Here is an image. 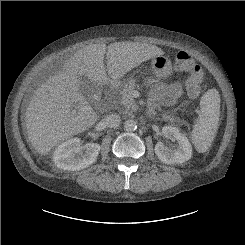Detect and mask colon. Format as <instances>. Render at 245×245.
<instances>
[{
  "mask_svg": "<svg viewBox=\"0 0 245 245\" xmlns=\"http://www.w3.org/2000/svg\"><path fill=\"white\" fill-rule=\"evenodd\" d=\"M175 66L187 74L185 89L187 94L196 98L201 93L204 73L201 67L195 63L193 56L186 50H180L175 57Z\"/></svg>",
  "mask_w": 245,
  "mask_h": 245,
  "instance_id": "obj_1",
  "label": "colon"
}]
</instances>
